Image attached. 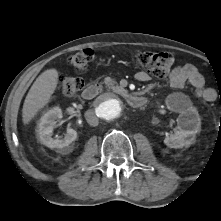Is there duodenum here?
Masks as SVG:
<instances>
[{"mask_svg":"<svg viewBox=\"0 0 221 221\" xmlns=\"http://www.w3.org/2000/svg\"><path fill=\"white\" fill-rule=\"evenodd\" d=\"M102 90V85L99 83L89 84L83 91V97L86 100L95 98ZM121 96L129 103L131 107L138 108L145 104L146 99L141 96L134 95L130 92H122Z\"/></svg>","mask_w":221,"mask_h":221,"instance_id":"410a0bca","label":"duodenum"}]
</instances>
